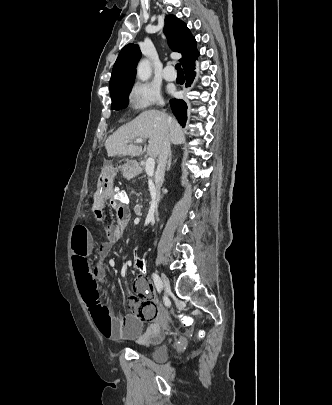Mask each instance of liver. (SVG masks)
Returning a JSON list of instances; mask_svg holds the SVG:
<instances>
[{"mask_svg": "<svg viewBox=\"0 0 332 405\" xmlns=\"http://www.w3.org/2000/svg\"><path fill=\"white\" fill-rule=\"evenodd\" d=\"M166 137L174 145L182 144L185 141L183 130L175 119L169 125L166 113L159 110H147L109 136L105 147L109 157L139 156L143 152L142 146L131 141L135 138L149 139L147 154L152 158H157ZM127 140L130 143H126Z\"/></svg>", "mask_w": 332, "mask_h": 405, "instance_id": "liver-1", "label": "liver"}]
</instances>
